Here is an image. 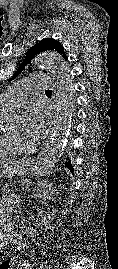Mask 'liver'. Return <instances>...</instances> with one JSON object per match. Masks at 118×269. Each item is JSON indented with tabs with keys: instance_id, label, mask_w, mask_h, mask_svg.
<instances>
[{
	"instance_id": "6515ba94",
	"label": "liver",
	"mask_w": 118,
	"mask_h": 269,
	"mask_svg": "<svg viewBox=\"0 0 118 269\" xmlns=\"http://www.w3.org/2000/svg\"><path fill=\"white\" fill-rule=\"evenodd\" d=\"M22 161H3L0 162V168H8L10 167L12 164H16V163H21Z\"/></svg>"
}]
</instances>
